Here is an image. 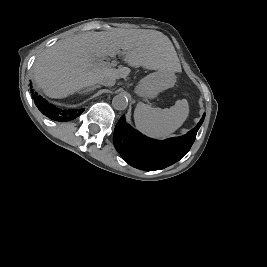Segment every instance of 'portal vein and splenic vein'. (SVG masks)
Returning a JSON list of instances; mask_svg holds the SVG:
<instances>
[{
  "instance_id": "1",
  "label": "portal vein and splenic vein",
  "mask_w": 267,
  "mask_h": 267,
  "mask_svg": "<svg viewBox=\"0 0 267 267\" xmlns=\"http://www.w3.org/2000/svg\"><path fill=\"white\" fill-rule=\"evenodd\" d=\"M96 64H99V65H108V64H110V63H108V62L103 61L102 59H100V60H98V61L96 62ZM111 65L115 66V65H116V62L113 61V62L111 63Z\"/></svg>"
}]
</instances>
